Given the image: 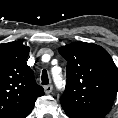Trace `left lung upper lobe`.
Instances as JSON below:
<instances>
[{"label": "left lung upper lobe", "mask_w": 118, "mask_h": 118, "mask_svg": "<svg viewBox=\"0 0 118 118\" xmlns=\"http://www.w3.org/2000/svg\"><path fill=\"white\" fill-rule=\"evenodd\" d=\"M67 60L61 105L70 118H103L118 91V69L109 53L93 43L74 42L58 49Z\"/></svg>", "instance_id": "obj_1"}]
</instances>
